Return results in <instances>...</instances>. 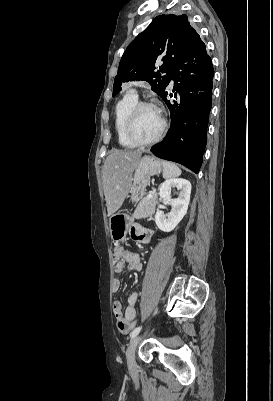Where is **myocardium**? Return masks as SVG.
I'll use <instances>...</instances> for the list:
<instances>
[{
	"label": "myocardium",
	"mask_w": 273,
	"mask_h": 401,
	"mask_svg": "<svg viewBox=\"0 0 273 401\" xmlns=\"http://www.w3.org/2000/svg\"><path fill=\"white\" fill-rule=\"evenodd\" d=\"M143 107L152 108V109H155L160 112L159 108L155 104L150 103V102H145V101H141V102H138L137 104H135L133 106V108L131 109V111L129 112V114L126 118V121L124 123V127H123L124 135L130 142H132L138 146H148V145H152V144L159 142L164 137V135L166 134L167 129H168L167 120L161 115L162 116V128L155 137H153L151 139H146V140L140 139L139 137H137L133 132V124H134L137 112Z\"/></svg>",
	"instance_id": "obj_1"
}]
</instances>
